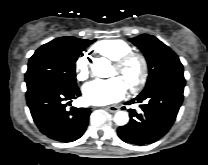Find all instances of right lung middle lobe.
<instances>
[{"mask_svg": "<svg viewBox=\"0 0 208 165\" xmlns=\"http://www.w3.org/2000/svg\"><path fill=\"white\" fill-rule=\"evenodd\" d=\"M95 40L60 37L41 46L30 58L25 74L27 92L44 84L64 88L77 86L75 63Z\"/></svg>", "mask_w": 208, "mask_h": 165, "instance_id": "obj_1", "label": "right lung middle lobe"}]
</instances>
